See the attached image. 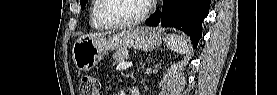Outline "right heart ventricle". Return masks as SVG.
I'll list each match as a JSON object with an SVG mask.
<instances>
[{"label":"right heart ventricle","mask_w":277,"mask_h":95,"mask_svg":"<svg viewBox=\"0 0 277 95\" xmlns=\"http://www.w3.org/2000/svg\"><path fill=\"white\" fill-rule=\"evenodd\" d=\"M100 1L101 0H93L92 7H91L90 22H91V25L96 29H103V28L106 27L103 23L99 22L94 16V11L98 7V5L100 4Z\"/></svg>","instance_id":"right-heart-ventricle-1"}]
</instances>
